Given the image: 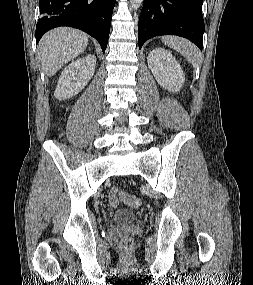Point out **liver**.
<instances>
[{
    "mask_svg": "<svg viewBox=\"0 0 253 285\" xmlns=\"http://www.w3.org/2000/svg\"><path fill=\"white\" fill-rule=\"evenodd\" d=\"M88 35L80 30L61 27L46 33L39 43V60L44 73L51 77L64 64L82 54Z\"/></svg>",
    "mask_w": 253,
    "mask_h": 285,
    "instance_id": "6515ba94",
    "label": "liver"
}]
</instances>
